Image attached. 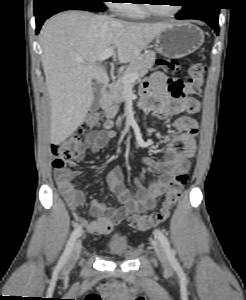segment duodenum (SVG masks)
I'll return each instance as SVG.
<instances>
[{"mask_svg": "<svg viewBox=\"0 0 246 300\" xmlns=\"http://www.w3.org/2000/svg\"><path fill=\"white\" fill-rule=\"evenodd\" d=\"M109 88H110L109 85H104V87H103V95L104 96L108 94Z\"/></svg>", "mask_w": 246, "mask_h": 300, "instance_id": "1", "label": "duodenum"}]
</instances>
